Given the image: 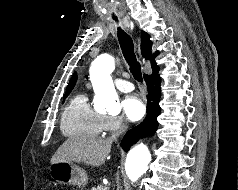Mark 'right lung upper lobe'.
Here are the masks:
<instances>
[{
    "mask_svg": "<svg viewBox=\"0 0 238 190\" xmlns=\"http://www.w3.org/2000/svg\"><path fill=\"white\" fill-rule=\"evenodd\" d=\"M149 38H150L149 35L146 32L142 31L141 53L145 59H151L152 69L154 72L159 69L154 61V58L157 56L158 53L156 52L152 55V51H151L152 42L150 41ZM75 83H76V73H74V75L72 76V78L67 86L66 92H71Z\"/></svg>",
    "mask_w": 238,
    "mask_h": 190,
    "instance_id": "right-lung-upper-lobe-1",
    "label": "right lung upper lobe"
}]
</instances>
